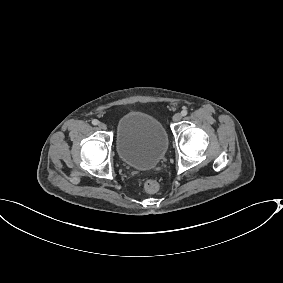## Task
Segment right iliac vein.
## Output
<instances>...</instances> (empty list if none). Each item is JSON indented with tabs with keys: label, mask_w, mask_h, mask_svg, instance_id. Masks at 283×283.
<instances>
[{
	"label": "right iliac vein",
	"mask_w": 283,
	"mask_h": 283,
	"mask_svg": "<svg viewBox=\"0 0 283 283\" xmlns=\"http://www.w3.org/2000/svg\"><path fill=\"white\" fill-rule=\"evenodd\" d=\"M98 127H99L100 129H102V130H106V129H107V125H106L105 123H102V122H100V123L98 124Z\"/></svg>",
	"instance_id": "63e3f726"
}]
</instances>
